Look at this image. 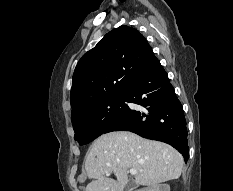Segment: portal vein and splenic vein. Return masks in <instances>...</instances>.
I'll use <instances>...</instances> for the list:
<instances>
[{"label": "portal vein and splenic vein", "instance_id": "18ae733b", "mask_svg": "<svg viewBox=\"0 0 233 191\" xmlns=\"http://www.w3.org/2000/svg\"><path fill=\"white\" fill-rule=\"evenodd\" d=\"M130 173H131V174H133V175H135V174H137V173H138V171H137V170H135V169H130Z\"/></svg>", "mask_w": 233, "mask_h": 191}]
</instances>
